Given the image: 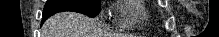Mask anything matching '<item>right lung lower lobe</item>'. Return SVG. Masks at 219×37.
Here are the masks:
<instances>
[{"label": "right lung lower lobe", "instance_id": "right-lung-lower-lobe-1", "mask_svg": "<svg viewBox=\"0 0 219 37\" xmlns=\"http://www.w3.org/2000/svg\"><path fill=\"white\" fill-rule=\"evenodd\" d=\"M53 14H55V13L44 14V15H43V21H42V22H44L48 17H50V16L53 15Z\"/></svg>", "mask_w": 219, "mask_h": 37}]
</instances>
